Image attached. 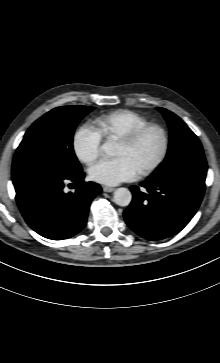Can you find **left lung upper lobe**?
I'll return each mask as SVG.
<instances>
[{
    "label": "left lung upper lobe",
    "mask_w": 220,
    "mask_h": 363,
    "mask_svg": "<svg viewBox=\"0 0 220 363\" xmlns=\"http://www.w3.org/2000/svg\"><path fill=\"white\" fill-rule=\"evenodd\" d=\"M167 121L170 139L169 148L165 160L160 164L154 173L169 170L181 161L189 158H203V149L197 136L187 125L174 113L157 108Z\"/></svg>",
    "instance_id": "obj_1"
}]
</instances>
